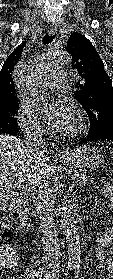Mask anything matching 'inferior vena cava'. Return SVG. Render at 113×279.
Here are the masks:
<instances>
[{"mask_svg":"<svg viewBox=\"0 0 113 279\" xmlns=\"http://www.w3.org/2000/svg\"><path fill=\"white\" fill-rule=\"evenodd\" d=\"M27 144L31 151L38 156H43L46 144L39 128L35 127L27 136ZM37 187L36 206L39 215V226L42 234L44 249L43 266L47 274H58L60 268V245L53 218V205L48 179L41 177Z\"/></svg>","mask_w":113,"mask_h":279,"instance_id":"1","label":"inferior vena cava"}]
</instances>
